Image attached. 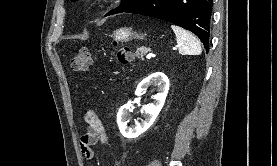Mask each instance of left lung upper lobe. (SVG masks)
Here are the masks:
<instances>
[{"label":"left lung upper lobe","mask_w":277,"mask_h":166,"mask_svg":"<svg viewBox=\"0 0 277 166\" xmlns=\"http://www.w3.org/2000/svg\"><path fill=\"white\" fill-rule=\"evenodd\" d=\"M71 1H76V0H71ZM141 1L142 0H122L121 5L119 7H117L116 9L110 11L107 14V16L127 11V10L131 9L132 7L136 6L137 4H139Z\"/></svg>","instance_id":"5c2ea615"}]
</instances>
